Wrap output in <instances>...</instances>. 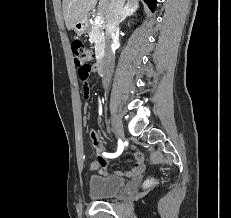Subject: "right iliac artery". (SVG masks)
<instances>
[{
  "mask_svg": "<svg viewBox=\"0 0 231 218\" xmlns=\"http://www.w3.org/2000/svg\"><path fill=\"white\" fill-rule=\"evenodd\" d=\"M123 151V144L121 142V140L118 141V149H117V152L116 153H104V155L107 157V158H115L117 156H119Z\"/></svg>",
  "mask_w": 231,
  "mask_h": 218,
  "instance_id": "obj_1",
  "label": "right iliac artery"
}]
</instances>
